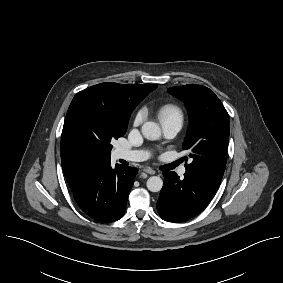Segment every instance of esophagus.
<instances>
[{"mask_svg":"<svg viewBox=\"0 0 283 283\" xmlns=\"http://www.w3.org/2000/svg\"><path fill=\"white\" fill-rule=\"evenodd\" d=\"M143 171L150 174V175H154L156 173V171L154 169L149 168V167L144 168Z\"/></svg>","mask_w":283,"mask_h":283,"instance_id":"1","label":"esophagus"}]
</instances>
